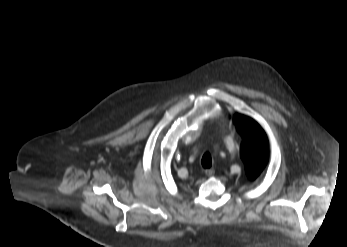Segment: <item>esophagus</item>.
I'll list each match as a JSON object with an SVG mask.
<instances>
[{
  "label": "esophagus",
  "mask_w": 347,
  "mask_h": 247,
  "mask_svg": "<svg viewBox=\"0 0 347 247\" xmlns=\"http://www.w3.org/2000/svg\"><path fill=\"white\" fill-rule=\"evenodd\" d=\"M205 173L207 176H213L215 174V170L213 168L206 169Z\"/></svg>",
  "instance_id": "34e87169"
}]
</instances>
